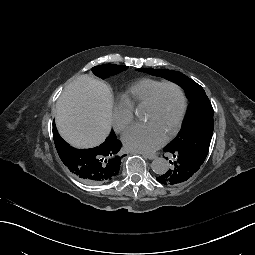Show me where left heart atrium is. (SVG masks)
<instances>
[{
    "instance_id": "1",
    "label": "left heart atrium",
    "mask_w": 255,
    "mask_h": 255,
    "mask_svg": "<svg viewBox=\"0 0 255 255\" xmlns=\"http://www.w3.org/2000/svg\"><path fill=\"white\" fill-rule=\"evenodd\" d=\"M125 147L131 151L150 153L166 142V138L147 123H139L129 128L122 137Z\"/></svg>"
}]
</instances>
